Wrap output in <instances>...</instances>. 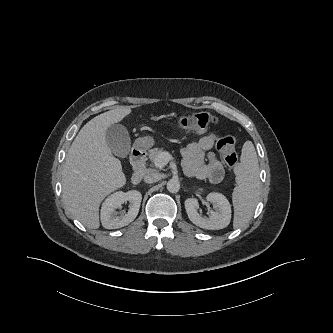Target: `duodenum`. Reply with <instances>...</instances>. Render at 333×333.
Segmentation results:
<instances>
[{
    "label": "duodenum",
    "mask_w": 333,
    "mask_h": 333,
    "mask_svg": "<svg viewBox=\"0 0 333 333\" xmlns=\"http://www.w3.org/2000/svg\"><path fill=\"white\" fill-rule=\"evenodd\" d=\"M131 163L134 168V172L131 176V183L133 185L139 184L146 172V153L142 149H135L131 155Z\"/></svg>",
    "instance_id": "obj_1"
}]
</instances>
